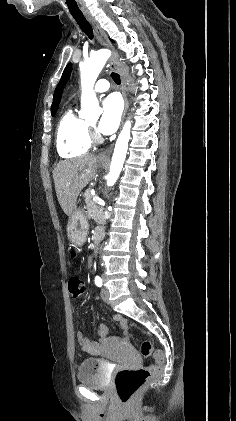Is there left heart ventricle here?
<instances>
[{"mask_svg":"<svg viewBox=\"0 0 236 421\" xmlns=\"http://www.w3.org/2000/svg\"><path fill=\"white\" fill-rule=\"evenodd\" d=\"M97 120L90 121L89 124L93 127H96Z\"/></svg>","mask_w":236,"mask_h":421,"instance_id":"1","label":"left heart ventricle"}]
</instances>
